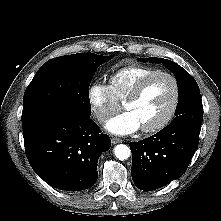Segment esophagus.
I'll return each mask as SVG.
<instances>
[{"instance_id":"34e87169","label":"esophagus","mask_w":221,"mask_h":221,"mask_svg":"<svg viewBox=\"0 0 221 221\" xmlns=\"http://www.w3.org/2000/svg\"><path fill=\"white\" fill-rule=\"evenodd\" d=\"M111 141H112L113 144H118V143H121V142H122V139L117 138V137H113V138L111 139Z\"/></svg>"}]
</instances>
